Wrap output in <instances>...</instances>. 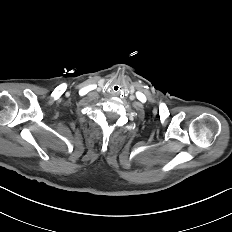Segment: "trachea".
Listing matches in <instances>:
<instances>
[{"mask_svg":"<svg viewBox=\"0 0 232 232\" xmlns=\"http://www.w3.org/2000/svg\"><path fill=\"white\" fill-rule=\"evenodd\" d=\"M111 90L114 92V93H118L121 91V85L120 84H114L112 87H111Z\"/></svg>","mask_w":232,"mask_h":232,"instance_id":"3493384b","label":"trachea"}]
</instances>
